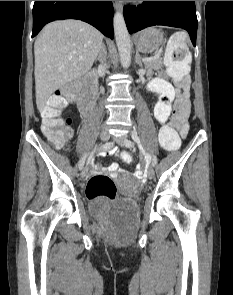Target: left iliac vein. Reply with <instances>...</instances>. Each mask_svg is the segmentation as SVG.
<instances>
[{
  "label": "left iliac vein",
  "mask_w": 233,
  "mask_h": 295,
  "mask_svg": "<svg viewBox=\"0 0 233 295\" xmlns=\"http://www.w3.org/2000/svg\"><path fill=\"white\" fill-rule=\"evenodd\" d=\"M115 140H116V142L118 144H120L121 146H124L126 148H131L133 146V144L132 145H126L125 144V141L126 140H129L126 136H123V137H120V138H116ZM147 176H148L149 179H153V177H154V170H153L152 167H148V169H147Z\"/></svg>",
  "instance_id": "obj_1"
}]
</instances>
